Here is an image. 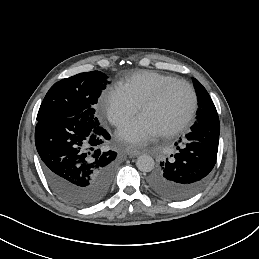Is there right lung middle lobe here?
<instances>
[{"label":"right lung middle lobe","mask_w":259,"mask_h":259,"mask_svg":"<svg viewBox=\"0 0 259 259\" xmlns=\"http://www.w3.org/2000/svg\"><path fill=\"white\" fill-rule=\"evenodd\" d=\"M106 79L104 73L91 71L55 83L42 101L37 121L52 117H74L84 122L99 124L94 104L106 87Z\"/></svg>","instance_id":"obj_1"}]
</instances>
